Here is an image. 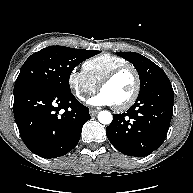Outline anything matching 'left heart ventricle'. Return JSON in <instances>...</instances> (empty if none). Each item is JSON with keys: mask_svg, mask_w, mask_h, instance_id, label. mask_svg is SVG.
I'll return each mask as SVG.
<instances>
[{"mask_svg": "<svg viewBox=\"0 0 193 193\" xmlns=\"http://www.w3.org/2000/svg\"><path fill=\"white\" fill-rule=\"evenodd\" d=\"M135 88V77L132 71L126 70L116 76L111 82L102 87L112 101L113 105H119L127 101Z\"/></svg>", "mask_w": 193, "mask_h": 193, "instance_id": "left-heart-ventricle-1", "label": "left heart ventricle"}]
</instances>
